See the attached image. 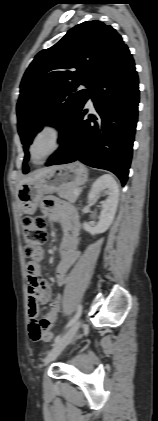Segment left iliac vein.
I'll return each mask as SVG.
<instances>
[{
    "label": "left iliac vein",
    "instance_id": "obj_1",
    "mask_svg": "<svg viewBox=\"0 0 158 421\" xmlns=\"http://www.w3.org/2000/svg\"><path fill=\"white\" fill-rule=\"evenodd\" d=\"M80 326L81 320H77L71 325V327L65 332V334L60 338V340L54 344L53 348L49 351L46 358L44 359V365H47L53 360H55L63 351V349L72 342Z\"/></svg>",
    "mask_w": 158,
    "mask_h": 421
}]
</instances>
